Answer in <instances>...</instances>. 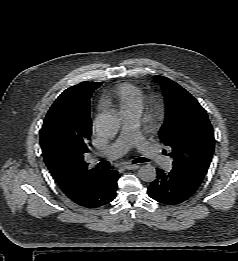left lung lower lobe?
Returning a JSON list of instances; mask_svg holds the SVG:
<instances>
[{
    "instance_id": "left-lung-lower-lobe-1",
    "label": "left lung lower lobe",
    "mask_w": 238,
    "mask_h": 261,
    "mask_svg": "<svg viewBox=\"0 0 238 261\" xmlns=\"http://www.w3.org/2000/svg\"><path fill=\"white\" fill-rule=\"evenodd\" d=\"M156 179L148 187V195L167 205H177L189 199L198 189L201 182L187 178L172 169H156Z\"/></svg>"
}]
</instances>
